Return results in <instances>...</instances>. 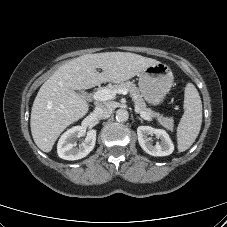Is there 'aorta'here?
Segmentation results:
<instances>
[{"label":"aorta","instance_id":"obj_1","mask_svg":"<svg viewBox=\"0 0 227 227\" xmlns=\"http://www.w3.org/2000/svg\"><path fill=\"white\" fill-rule=\"evenodd\" d=\"M129 118L128 111L125 109H119L116 112V120L119 122H126Z\"/></svg>","mask_w":227,"mask_h":227}]
</instances>
